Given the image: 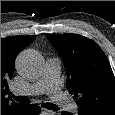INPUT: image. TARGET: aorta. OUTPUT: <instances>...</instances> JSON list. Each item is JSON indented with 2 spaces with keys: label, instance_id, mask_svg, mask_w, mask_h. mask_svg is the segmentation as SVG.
<instances>
[{
  "label": "aorta",
  "instance_id": "aorta-1",
  "mask_svg": "<svg viewBox=\"0 0 115 115\" xmlns=\"http://www.w3.org/2000/svg\"><path fill=\"white\" fill-rule=\"evenodd\" d=\"M16 67L19 74L28 79L37 78L43 68V60L39 53L33 50L23 51L17 58ZM55 113H51L54 115Z\"/></svg>",
  "mask_w": 115,
  "mask_h": 115
}]
</instances>
